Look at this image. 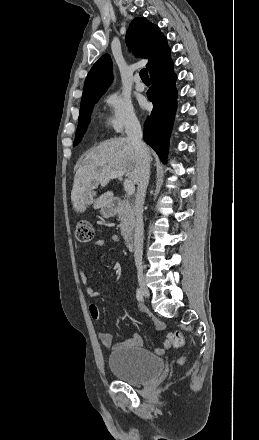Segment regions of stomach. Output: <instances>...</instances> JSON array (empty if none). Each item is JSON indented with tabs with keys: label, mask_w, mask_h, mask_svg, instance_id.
I'll return each mask as SVG.
<instances>
[{
	"label": "stomach",
	"mask_w": 259,
	"mask_h": 440,
	"mask_svg": "<svg viewBox=\"0 0 259 440\" xmlns=\"http://www.w3.org/2000/svg\"><path fill=\"white\" fill-rule=\"evenodd\" d=\"M101 215L104 218H110L115 215V209L111 204H107L101 209Z\"/></svg>",
	"instance_id": "stomach-1"
}]
</instances>
